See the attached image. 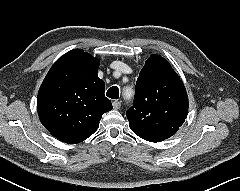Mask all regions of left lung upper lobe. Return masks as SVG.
Returning <instances> with one entry per match:
<instances>
[{
    "mask_svg": "<svg viewBox=\"0 0 240 191\" xmlns=\"http://www.w3.org/2000/svg\"><path fill=\"white\" fill-rule=\"evenodd\" d=\"M188 106L180 77L166 59L151 55L137 79L134 105L127 110L131 130L147 141H163L184 123Z\"/></svg>",
    "mask_w": 240,
    "mask_h": 191,
    "instance_id": "5c2ea615",
    "label": "left lung upper lobe"
}]
</instances>
